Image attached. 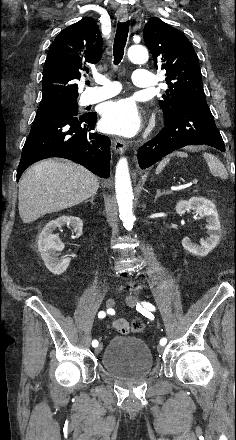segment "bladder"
Listing matches in <instances>:
<instances>
[{"instance_id":"obj_1","label":"bladder","mask_w":236,"mask_h":440,"mask_svg":"<svg viewBox=\"0 0 236 440\" xmlns=\"http://www.w3.org/2000/svg\"><path fill=\"white\" fill-rule=\"evenodd\" d=\"M102 363L115 377L127 378L148 374L153 368V356L141 339L116 336L105 347Z\"/></svg>"}]
</instances>
